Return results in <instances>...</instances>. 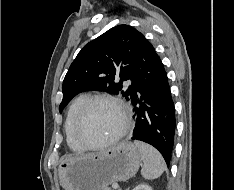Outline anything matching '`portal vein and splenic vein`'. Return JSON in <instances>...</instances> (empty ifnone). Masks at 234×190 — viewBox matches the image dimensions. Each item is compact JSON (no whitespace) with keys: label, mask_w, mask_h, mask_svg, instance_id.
<instances>
[{"label":"portal vein and splenic vein","mask_w":234,"mask_h":190,"mask_svg":"<svg viewBox=\"0 0 234 190\" xmlns=\"http://www.w3.org/2000/svg\"><path fill=\"white\" fill-rule=\"evenodd\" d=\"M112 187H113L114 189H118L119 185H118L117 183H114V184H112Z\"/></svg>","instance_id":"obj_1"}]
</instances>
